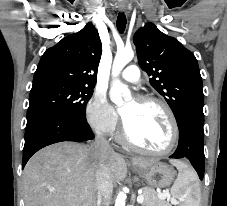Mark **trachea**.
Listing matches in <instances>:
<instances>
[{
    "label": "trachea",
    "instance_id": "3493384b",
    "mask_svg": "<svg viewBox=\"0 0 227 206\" xmlns=\"http://www.w3.org/2000/svg\"><path fill=\"white\" fill-rule=\"evenodd\" d=\"M126 28V16L125 14L119 13L117 17V29L120 33H123Z\"/></svg>",
    "mask_w": 227,
    "mask_h": 206
}]
</instances>
